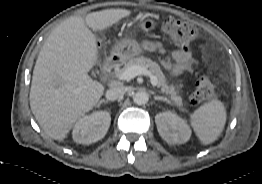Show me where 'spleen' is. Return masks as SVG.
I'll use <instances>...</instances> for the list:
<instances>
[{"instance_id": "3e777b00", "label": "spleen", "mask_w": 262, "mask_h": 184, "mask_svg": "<svg viewBox=\"0 0 262 184\" xmlns=\"http://www.w3.org/2000/svg\"><path fill=\"white\" fill-rule=\"evenodd\" d=\"M226 122V110L219 100L205 103L191 114V124L203 145L214 142Z\"/></svg>"}]
</instances>
